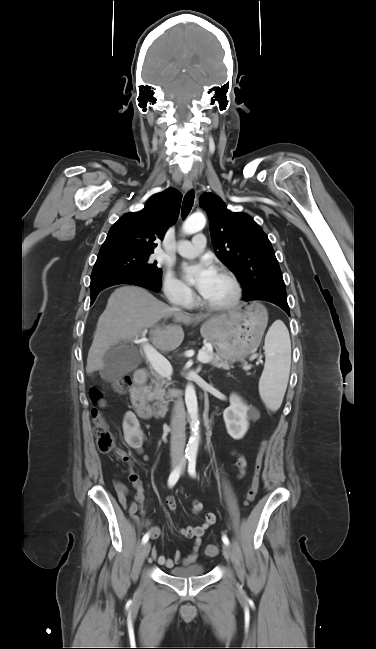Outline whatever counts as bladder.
Here are the masks:
<instances>
[{
  "label": "bladder",
  "instance_id": "1",
  "mask_svg": "<svg viewBox=\"0 0 376 649\" xmlns=\"http://www.w3.org/2000/svg\"><path fill=\"white\" fill-rule=\"evenodd\" d=\"M206 568L204 565L195 563L188 566L176 567L170 570V575L179 578H192L199 577L205 574Z\"/></svg>",
  "mask_w": 376,
  "mask_h": 649
}]
</instances>
